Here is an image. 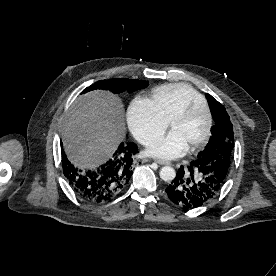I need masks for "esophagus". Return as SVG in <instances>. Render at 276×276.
Listing matches in <instances>:
<instances>
[{"label":"esophagus","instance_id":"34e87169","mask_svg":"<svg viewBox=\"0 0 276 276\" xmlns=\"http://www.w3.org/2000/svg\"><path fill=\"white\" fill-rule=\"evenodd\" d=\"M154 161H155L156 163L160 164V165H168V164H170L169 161L161 160V159H155Z\"/></svg>","mask_w":276,"mask_h":276}]
</instances>
